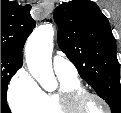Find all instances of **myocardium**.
<instances>
[{
    "label": "myocardium",
    "instance_id": "f54148a6",
    "mask_svg": "<svg viewBox=\"0 0 121 113\" xmlns=\"http://www.w3.org/2000/svg\"><path fill=\"white\" fill-rule=\"evenodd\" d=\"M87 99H95L99 101L101 105L105 108L104 113L111 112L110 105L105 98H103L99 94L88 92L86 90H74L70 93V100H69L70 109H82L81 107H76V106L84 105Z\"/></svg>",
    "mask_w": 121,
    "mask_h": 113
}]
</instances>
